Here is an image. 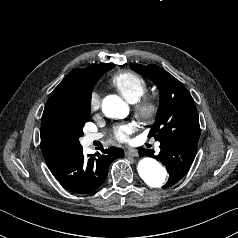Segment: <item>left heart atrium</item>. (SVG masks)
Wrapping results in <instances>:
<instances>
[{"label":"left heart atrium","mask_w":238,"mask_h":238,"mask_svg":"<svg viewBox=\"0 0 238 238\" xmlns=\"http://www.w3.org/2000/svg\"><path fill=\"white\" fill-rule=\"evenodd\" d=\"M134 131V125L132 123H124L116 126L113 130V136L115 139L125 142L129 135Z\"/></svg>","instance_id":"1"}]
</instances>
